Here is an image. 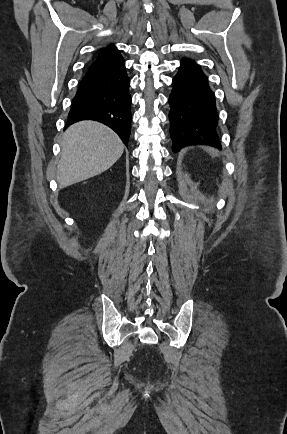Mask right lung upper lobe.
Instances as JSON below:
<instances>
[{
	"label": "right lung upper lobe",
	"mask_w": 287,
	"mask_h": 434,
	"mask_svg": "<svg viewBox=\"0 0 287 434\" xmlns=\"http://www.w3.org/2000/svg\"><path fill=\"white\" fill-rule=\"evenodd\" d=\"M116 51H118V50L116 49V47H115L113 44H111L110 47H108V48H106V49H101L100 52H99V54H98V56H97V58H99V57H103V56L108 55V54H111V53H114V52H116Z\"/></svg>",
	"instance_id": "obj_1"
}]
</instances>
